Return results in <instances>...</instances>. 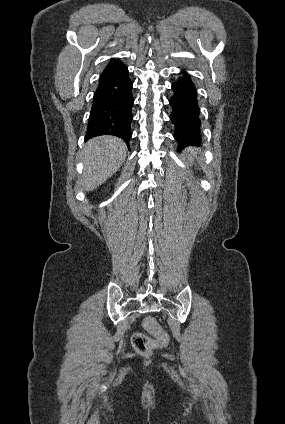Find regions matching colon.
<instances>
[{
  "label": "colon",
  "mask_w": 285,
  "mask_h": 424,
  "mask_svg": "<svg viewBox=\"0 0 285 424\" xmlns=\"http://www.w3.org/2000/svg\"><path fill=\"white\" fill-rule=\"evenodd\" d=\"M143 325L154 336V338L149 337L145 333L136 332L132 336V345L138 353L142 355H149L155 348L164 344L167 338L164 331L154 318H145Z\"/></svg>",
  "instance_id": "1"
}]
</instances>
